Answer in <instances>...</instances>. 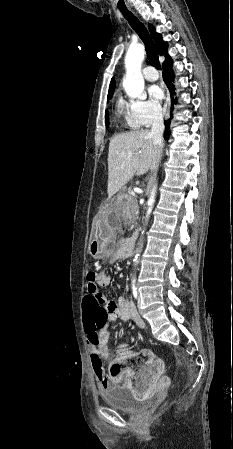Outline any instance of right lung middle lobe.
Instances as JSON below:
<instances>
[{"mask_svg":"<svg viewBox=\"0 0 233 449\" xmlns=\"http://www.w3.org/2000/svg\"><path fill=\"white\" fill-rule=\"evenodd\" d=\"M113 94H108V99H110L112 97ZM106 124H109V117L107 115V111H106Z\"/></svg>","mask_w":233,"mask_h":449,"instance_id":"right-lung-middle-lobe-1","label":"right lung middle lobe"}]
</instances>
